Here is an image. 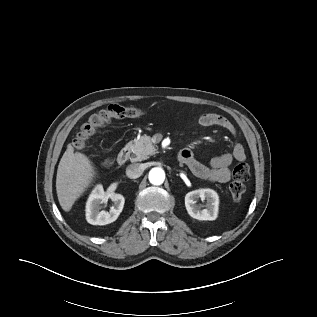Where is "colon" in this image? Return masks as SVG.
<instances>
[{
    "instance_id": "obj_1",
    "label": "colon",
    "mask_w": 317,
    "mask_h": 317,
    "mask_svg": "<svg viewBox=\"0 0 317 317\" xmlns=\"http://www.w3.org/2000/svg\"><path fill=\"white\" fill-rule=\"evenodd\" d=\"M143 115V111L135 107H124L113 104L104 110L93 114L89 120L83 124L74 139V147L82 149L100 128L111 122L113 119L134 118ZM250 177V168L246 163L237 164L232 173V181L229 185L230 193L236 202H239L245 190L244 183Z\"/></svg>"
}]
</instances>
